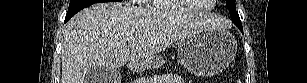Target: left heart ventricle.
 Wrapping results in <instances>:
<instances>
[{
  "mask_svg": "<svg viewBox=\"0 0 307 83\" xmlns=\"http://www.w3.org/2000/svg\"><path fill=\"white\" fill-rule=\"evenodd\" d=\"M185 3H190L193 7L195 8H199V7H203V6H206V5H201L200 3V0H186L184 1Z\"/></svg>",
  "mask_w": 307,
  "mask_h": 83,
  "instance_id": "b2bd125f",
  "label": "left heart ventricle"
}]
</instances>
